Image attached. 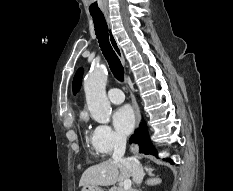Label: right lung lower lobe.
I'll use <instances>...</instances> for the list:
<instances>
[{"label": "right lung lower lobe", "mask_w": 233, "mask_h": 191, "mask_svg": "<svg viewBox=\"0 0 233 191\" xmlns=\"http://www.w3.org/2000/svg\"><path fill=\"white\" fill-rule=\"evenodd\" d=\"M131 143H138L140 146V152L144 154H151L157 157V152L152 146L148 137L147 129L144 123H141L140 129L136 130L135 134L130 138ZM170 163L173 162L168 159Z\"/></svg>", "instance_id": "obj_1"}]
</instances>
